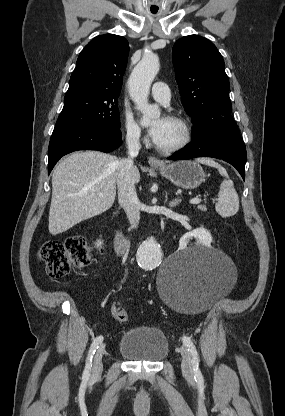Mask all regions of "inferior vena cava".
<instances>
[{
  "label": "inferior vena cava",
  "mask_w": 285,
  "mask_h": 416,
  "mask_svg": "<svg viewBox=\"0 0 285 416\" xmlns=\"http://www.w3.org/2000/svg\"><path fill=\"white\" fill-rule=\"evenodd\" d=\"M128 146V158L119 160L117 174L118 200L125 210L131 228H137L140 220L141 204L137 198L134 182L132 180L133 158H136L140 150L139 134L134 130H128L126 136Z\"/></svg>",
  "instance_id": "1"
}]
</instances>
